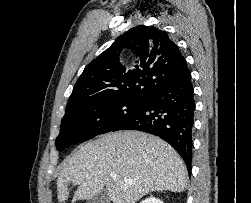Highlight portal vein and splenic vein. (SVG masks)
Listing matches in <instances>:
<instances>
[{
	"label": "portal vein and splenic vein",
	"instance_id": "obj_1",
	"mask_svg": "<svg viewBox=\"0 0 251 203\" xmlns=\"http://www.w3.org/2000/svg\"><path fill=\"white\" fill-rule=\"evenodd\" d=\"M110 177H111L112 179H115V178L117 177V175H116L115 173H112V174L110 175Z\"/></svg>",
	"mask_w": 251,
	"mask_h": 203
}]
</instances>
